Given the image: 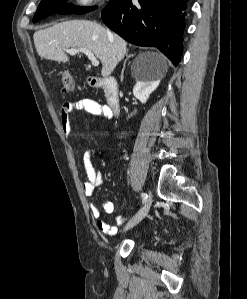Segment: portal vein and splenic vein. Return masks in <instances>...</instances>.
Here are the masks:
<instances>
[{
  "mask_svg": "<svg viewBox=\"0 0 247 299\" xmlns=\"http://www.w3.org/2000/svg\"><path fill=\"white\" fill-rule=\"evenodd\" d=\"M78 52L84 53L88 57V59L91 61L93 66L99 65V61L96 59L94 53H92L90 50H88L86 48H71L68 50V53H70L71 55H75Z\"/></svg>",
  "mask_w": 247,
  "mask_h": 299,
  "instance_id": "obj_1",
  "label": "portal vein and splenic vein"
}]
</instances>
